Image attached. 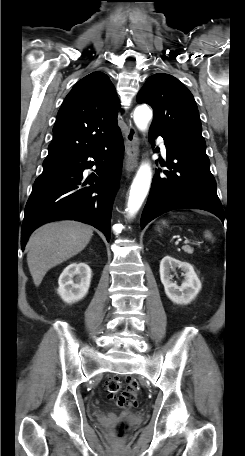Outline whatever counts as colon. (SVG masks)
I'll use <instances>...</instances> for the list:
<instances>
[{
	"instance_id": "1",
	"label": "colon",
	"mask_w": 245,
	"mask_h": 456,
	"mask_svg": "<svg viewBox=\"0 0 245 456\" xmlns=\"http://www.w3.org/2000/svg\"><path fill=\"white\" fill-rule=\"evenodd\" d=\"M106 392L108 398L112 399L121 408H131L138 403V384L135 380L128 378L124 382L118 377H111L106 381ZM125 433V426L117 428V436L122 437Z\"/></svg>"
}]
</instances>
